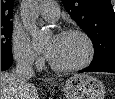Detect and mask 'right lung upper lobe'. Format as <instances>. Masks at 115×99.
Listing matches in <instances>:
<instances>
[{"label":"right lung upper lobe","mask_w":115,"mask_h":99,"mask_svg":"<svg viewBox=\"0 0 115 99\" xmlns=\"http://www.w3.org/2000/svg\"><path fill=\"white\" fill-rule=\"evenodd\" d=\"M14 0H1V24H12Z\"/></svg>","instance_id":"obj_1"}]
</instances>
